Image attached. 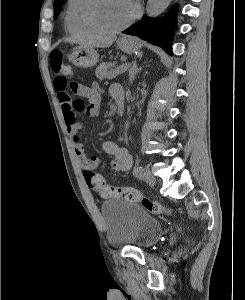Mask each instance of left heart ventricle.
<instances>
[{
	"mask_svg": "<svg viewBox=\"0 0 245 300\" xmlns=\"http://www.w3.org/2000/svg\"><path fill=\"white\" fill-rule=\"evenodd\" d=\"M133 13L134 6L130 0H99L94 17L102 27L113 29L126 23Z\"/></svg>",
	"mask_w": 245,
	"mask_h": 300,
	"instance_id": "obj_1",
	"label": "left heart ventricle"
}]
</instances>
